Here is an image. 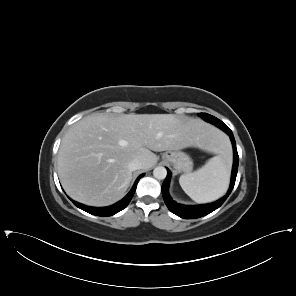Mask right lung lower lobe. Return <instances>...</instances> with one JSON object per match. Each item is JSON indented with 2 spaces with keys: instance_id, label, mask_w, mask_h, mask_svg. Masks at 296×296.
Instances as JSON below:
<instances>
[{
  "instance_id": "obj_1",
  "label": "right lung lower lobe",
  "mask_w": 296,
  "mask_h": 296,
  "mask_svg": "<svg viewBox=\"0 0 296 296\" xmlns=\"http://www.w3.org/2000/svg\"><path fill=\"white\" fill-rule=\"evenodd\" d=\"M144 174L140 175L137 180L135 181L131 191L122 199L120 200L119 202H117L116 204L114 205H111V206H108V207H100V208H97V207H88V206H85L81 203H78V202H75L73 201L74 205H76L78 208L90 213V214H93V215H96V216H111V215H114L116 213H118L119 211L123 210L130 202V200L132 199L133 197V194L136 190V187H137V183L139 181V179L143 176Z\"/></svg>"
}]
</instances>
